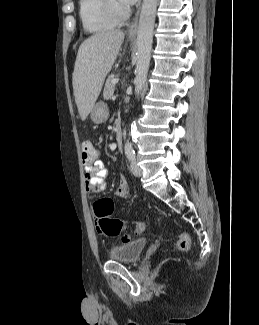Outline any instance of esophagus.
<instances>
[{
    "label": "esophagus",
    "mask_w": 259,
    "mask_h": 325,
    "mask_svg": "<svg viewBox=\"0 0 259 325\" xmlns=\"http://www.w3.org/2000/svg\"><path fill=\"white\" fill-rule=\"evenodd\" d=\"M138 17H139V11L136 13L133 21L128 27L127 34L129 37H135L137 33V28H138Z\"/></svg>",
    "instance_id": "34e87169"
}]
</instances>
